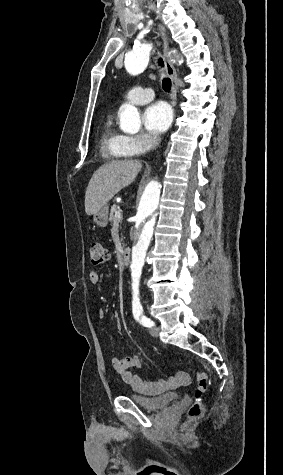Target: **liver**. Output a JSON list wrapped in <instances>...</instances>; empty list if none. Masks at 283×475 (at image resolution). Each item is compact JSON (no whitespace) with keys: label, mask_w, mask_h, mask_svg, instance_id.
Segmentation results:
<instances>
[{"label":"liver","mask_w":283,"mask_h":475,"mask_svg":"<svg viewBox=\"0 0 283 475\" xmlns=\"http://www.w3.org/2000/svg\"><path fill=\"white\" fill-rule=\"evenodd\" d=\"M142 164L139 160H116L100 166L94 172L85 194V212L88 216L99 212L122 188L134 182Z\"/></svg>","instance_id":"1"}]
</instances>
